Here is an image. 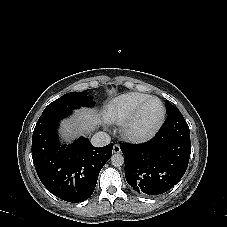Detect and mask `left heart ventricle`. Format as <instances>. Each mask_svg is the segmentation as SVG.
Masks as SVG:
<instances>
[{"mask_svg": "<svg viewBox=\"0 0 227 227\" xmlns=\"http://www.w3.org/2000/svg\"><path fill=\"white\" fill-rule=\"evenodd\" d=\"M161 112L162 108L158 102H150L139 119L138 128L146 130L151 127L160 118Z\"/></svg>", "mask_w": 227, "mask_h": 227, "instance_id": "obj_1", "label": "left heart ventricle"}]
</instances>
